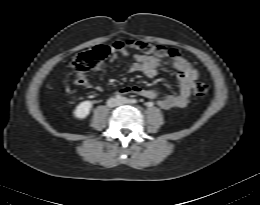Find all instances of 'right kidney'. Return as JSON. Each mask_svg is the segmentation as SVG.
<instances>
[{
  "label": "right kidney",
  "instance_id": "ca27d5eb",
  "mask_svg": "<svg viewBox=\"0 0 260 205\" xmlns=\"http://www.w3.org/2000/svg\"><path fill=\"white\" fill-rule=\"evenodd\" d=\"M91 108H92V102L87 100V101H83L81 102L80 104H78L74 110V117L79 119V120H82V119H85L90 111H91Z\"/></svg>",
  "mask_w": 260,
  "mask_h": 205
}]
</instances>
